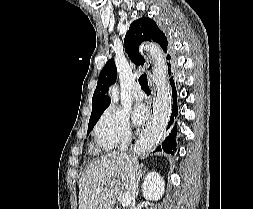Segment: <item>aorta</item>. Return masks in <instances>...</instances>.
I'll list each match as a JSON object with an SVG mask.
<instances>
[{
  "label": "aorta",
  "mask_w": 253,
  "mask_h": 209,
  "mask_svg": "<svg viewBox=\"0 0 253 209\" xmlns=\"http://www.w3.org/2000/svg\"><path fill=\"white\" fill-rule=\"evenodd\" d=\"M110 97L112 99V102L117 103L119 100V92L117 86H113L110 89Z\"/></svg>",
  "instance_id": "aorta-1"
}]
</instances>
